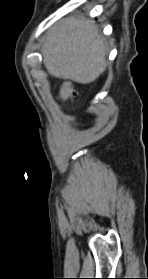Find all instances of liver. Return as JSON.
<instances>
[{
  "label": "liver",
  "mask_w": 148,
  "mask_h": 279,
  "mask_svg": "<svg viewBox=\"0 0 148 279\" xmlns=\"http://www.w3.org/2000/svg\"><path fill=\"white\" fill-rule=\"evenodd\" d=\"M42 52L49 74L81 84L95 81L107 67L104 39L84 19L71 17L57 23Z\"/></svg>",
  "instance_id": "6515ba94"
}]
</instances>
